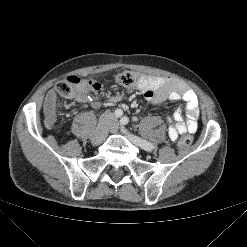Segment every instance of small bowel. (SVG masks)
I'll return each mask as SVG.
<instances>
[{
  "label": "small bowel",
  "instance_id": "obj_1",
  "mask_svg": "<svg viewBox=\"0 0 247 247\" xmlns=\"http://www.w3.org/2000/svg\"><path fill=\"white\" fill-rule=\"evenodd\" d=\"M137 88L144 94L150 104H160L166 100L184 101V108L176 110L169 117V138L177 140L179 135L186 132L194 133L197 130V120L200 115L198 97L183 82L169 77L146 78L137 84ZM56 99L55 91H50L45 100L44 114L45 125L51 128L56 123ZM121 99L120 94H112L108 97L109 102H117ZM81 102H88L89 98L81 96ZM95 108L100 107L99 102H92ZM185 113V114H184Z\"/></svg>",
  "mask_w": 247,
  "mask_h": 247
}]
</instances>
